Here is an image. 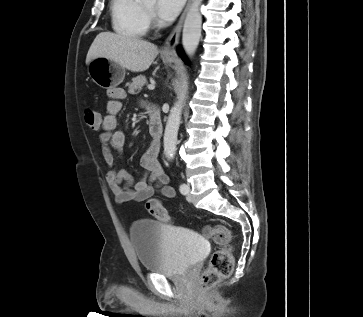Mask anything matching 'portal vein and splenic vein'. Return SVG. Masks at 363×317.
<instances>
[{"mask_svg":"<svg viewBox=\"0 0 363 317\" xmlns=\"http://www.w3.org/2000/svg\"><path fill=\"white\" fill-rule=\"evenodd\" d=\"M154 88H155V86H154V85H152V84L148 85V89H149V90H154Z\"/></svg>","mask_w":363,"mask_h":317,"instance_id":"obj_1","label":"portal vein and splenic vein"}]
</instances>
